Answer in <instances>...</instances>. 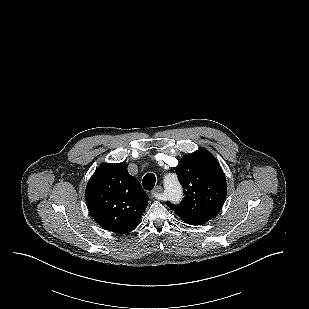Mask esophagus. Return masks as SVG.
Masks as SVG:
<instances>
[{"label": "esophagus", "mask_w": 309, "mask_h": 309, "mask_svg": "<svg viewBox=\"0 0 309 309\" xmlns=\"http://www.w3.org/2000/svg\"><path fill=\"white\" fill-rule=\"evenodd\" d=\"M163 191V188L161 186H157L154 191L152 192L153 197L157 199H161V193Z\"/></svg>", "instance_id": "1"}]
</instances>
